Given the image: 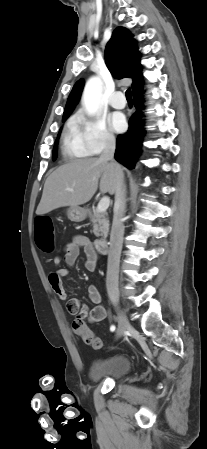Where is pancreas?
<instances>
[{
  "label": "pancreas",
  "mask_w": 207,
  "mask_h": 449,
  "mask_svg": "<svg viewBox=\"0 0 207 449\" xmlns=\"http://www.w3.org/2000/svg\"><path fill=\"white\" fill-rule=\"evenodd\" d=\"M90 220L93 223V233L96 237H107L109 232V220L106 212H99L93 210L89 214Z\"/></svg>",
  "instance_id": "1"
}]
</instances>
